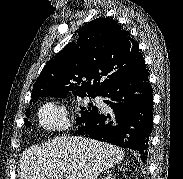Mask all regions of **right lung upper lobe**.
<instances>
[{"instance_id": "cb5924a9", "label": "right lung upper lobe", "mask_w": 183, "mask_h": 179, "mask_svg": "<svg viewBox=\"0 0 183 179\" xmlns=\"http://www.w3.org/2000/svg\"><path fill=\"white\" fill-rule=\"evenodd\" d=\"M143 64L138 43L131 35L115 20L99 17L86 23L76 41L47 62L33 85L31 101L71 92L99 95Z\"/></svg>"}]
</instances>
